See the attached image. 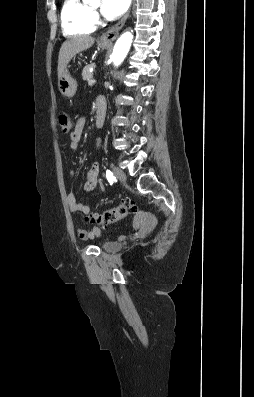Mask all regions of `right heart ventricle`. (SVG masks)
<instances>
[{
  "instance_id": "e07e8e85",
  "label": "right heart ventricle",
  "mask_w": 254,
  "mask_h": 397,
  "mask_svg": "<svg viewBox=\"0 0 254 397\" xmlns=\"http://www.w3.org/2000/svg\"><path fill=\"white\" fill-rule=\"evenodd\" d=\"M60 17L62 32L67 37L86 35L94 31L92 12L82 0H64Z\"/></svg>"
}]
</instances>
